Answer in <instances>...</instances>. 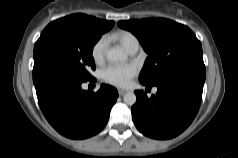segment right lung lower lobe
I'll list each match as a JSON object with an SVG mask.
<instances>
[{
    "label": "right lung lower lobe",
    "instance_id": "1",
    "mask_svg": "<svg viewBox=\"0 0 238 158\" xmlns=\"http://www.w3.org/2000/svg\"><path fill=\"white\" fill-rule=\"evenodd\" d=\"M33 82L44 116L60 134L71 139L99 133L118 97L117 90L105 84L96 93L84 91L81 85L87 81L50 65L33 69Z\"/></svg>",
    "mask_w": 238,
    "mask_h": 158
}]
</instances>
